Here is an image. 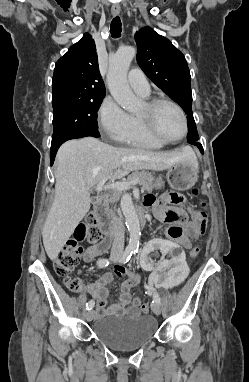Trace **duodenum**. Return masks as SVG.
<instances>
[{"label": "duodenum", "mask_w": 249, "mask_h": 382, "mask_svg": "<svg viewBox=\"0 0 249 382\" xmlns=\"http://www.w3.org/2000/svg\"><path fill=\"white\" fill-rule=\"evenodd\" d=\"M107 209V197L101 195L98 197L94 204V214L99 220L103 233L107 238H112L116 234L115 225L113 221L106 215ZM146 222L144 211L140 208L139 212V224L143 226Z\"/></svg>", "instance_id": "1"}]
</instances>
